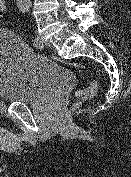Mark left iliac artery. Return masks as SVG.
<instances>
[{"instance_id":"44dca946","label":"left iliac artery","mask_w":131,"mask_h":177,"mask_svg":"<svg viewBox=\"0 0 131 177\" xmlns=\"http://www.w3.org/2000/svg\"><path fill=\"white\" fill-rule=\"evenodd\" d=\"M22 11L24 13H27L28 12V8L24 7V8H22ZM32 42H33L34 46L38 47L39 41H38V39L36 37H33Z\"/></svg>"}]
</instances>
